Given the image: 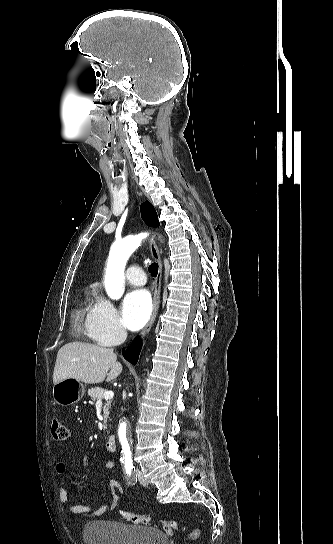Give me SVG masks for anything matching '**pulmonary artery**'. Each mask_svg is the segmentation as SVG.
I'll list each match as a JSON object with an SVG mask.
<instances>
[{
  "label": "pulmonary artery",
  "instance_id": "e3ab8cb5",
  "mask_svg": "<svg viewBox=\"0 0 333 544\" xmlns=\"http://www.w3.org/2000/svg\"><path fill=\"white\" fill-rule=\"evenodd\" d=\"M125 277L127 282L134 286H142L146 283V276L139 266L129 267L126 271Z\"/></svg>",
  "mask_w": 333,
  "mask_h": 544
}]
</instances>
